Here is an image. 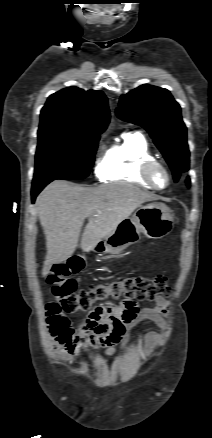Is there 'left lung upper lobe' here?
Here are the masks:
<instances>
[{"label":"left lung upper lobe","mask_w":212,"mask_h":438,"mask_svg":"<svg viewBox=\"0 0 212 438\" xmlns=\"http://www.w3.org/2000/svg\"><path fill=\"white\" fill-rule=\"evenodd\" d=\"M117 116L145 128L169 164L175 182L189 169L186 126L181 109L167 89L141 85L122 95Z\"/></svg>","instance_id":"left-lung-upper-lobe-1"}]
</instances>
